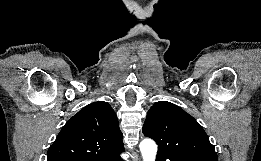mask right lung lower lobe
Returning a JSON list of instances; mask_svg holds the SVG:
<instances>
[{
  "label": "right lung lower lobe",
  "instance_id": "obj_1",
  "mask_svg": "<svg viewBox=\"0 0 261 161\" xmlns=\"http://www.w3.org/2000/svg\"><path fill=\"white\" fill-rule=\"evenodd\" d=\"M121 152H123V150L119 151V152L106 154V155L100 156L96 159H88V160H84V161H122L120 158V155H119Z\"/></svg>",
  "mask_w": 261,
  "mask_h": 161
}]
</instances>
